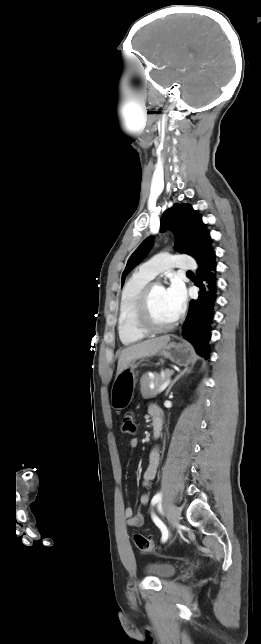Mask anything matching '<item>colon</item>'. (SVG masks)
<instances>
[{
	"mask_svg": "<svg viewBox=\"0 0 261 644\" xmlns=\"http://www.w3.org/2000/svg\"><path fill=\"white\" fill-rule=\"evenodd\" d=\"M122 432L128 435H132L136 432L137 426L135 417L132 413H126L122 418L121 425ZM133 542L137 549L142 552H153L156 549L154 541L146 536L141 534L133 535Z\"/></svg>",
	"mask_w": 261,
	"mask_h": 644,
	"instance_id": "5ec220e1",
	"label": "colon"
}]
</instances>
